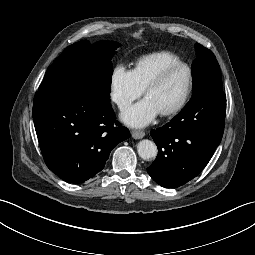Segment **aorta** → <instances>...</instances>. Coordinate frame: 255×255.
<instances>
[{
  "label": "aorta",
  "instance_id": "obj_1",
  "mask_svg": "<svg viewBox=\"0 0 255 255\" xmlns=\"http://www.w3.org/2000/svg\"><path fill=\"white\" fill-rule=\"evenodd\" d=\"M137 152L142 159L150 160L156 157L157 146L154 142L143 139L137 144Z\"/></svg>",
  "mask_w": 255,
  "mask_h": 255
}]
</instances>
